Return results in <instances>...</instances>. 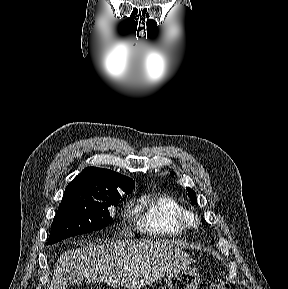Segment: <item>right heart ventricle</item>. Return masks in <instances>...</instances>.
Instances as JSON below:
<instances>
[{
  "instance_id": "obj_1",
  "label": "right heart ventricle",
  "mask_w": 288,
  "mask_h": 289,
  "mask_svg": "<svg viewBox=\"0 0 288 289\" xmlns=\"http://www.w3.org/2000/svg\"><path fill=\"white\" fill-rule=\"evenodd\" d=\"M137 209L143 211L139 227L149 235L179 237L190 227L188 208L172 195H145Z\"/></svg>"
}]
</instances>
